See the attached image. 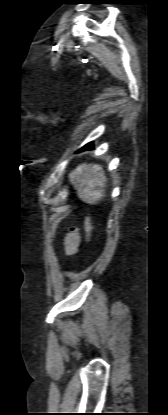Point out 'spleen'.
Listing matches in <instances>:
<instances>
[{
  "instance_id": "3e777b00",
  "label": "spleen",
  "mask_w": 168,
  "mask_h": 415,
  "mask_svg": "<svg viewBox=\"0 0 168 415\" xmlns=\"http://www.w3.org/2000/svg\"><path fill=\"white\" fill-rule=\"evenodd\" d=\"M69 178L82 201L94 204L103 196L106 178L100 165H79Z\"/></svg>"
}]
</instances>
